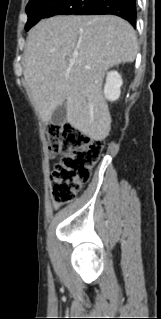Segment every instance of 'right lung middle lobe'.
Segmentation results:
<instances>
[{"label": "right lung middle lobe", "instance_id": "obj_1", "mask_svg": "<svg viewBox=\"0 0 161 319\" xmlns=\"http://www.w3.org/2000/svg\"><path fill=\"white\" fill-rule=\"evenodd\" d=\"M88 0H30L26 6L28 21L25 29L28 31L32 26L43 18L55 15H71L80 10Z\"/></svg>", "mask_w": 161, "mask_h": 319}]
</instances>
